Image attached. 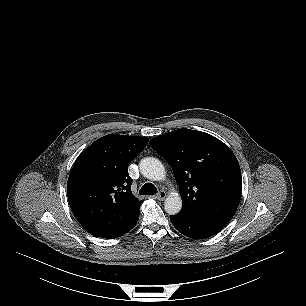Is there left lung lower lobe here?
I'll return each instance as SVG.
<instances>
[{"label": "left lung lower lobe", "mask_w": 306, "mask_h": 306, "mask_svg": "<svg viewBox=\"0 0 306 306\" xmlns=\"http://www.w3.org/2000/svg\"><path fill=\"white\" fill-rule=\"evenodd\" d=\"M170 220L179 232L194 239L213 236L226 225L222 222L192 218L183 213L170 216Z\"/></svg>", "instance_id": "left-lung-lower-lobe-1"}]
</instances>
